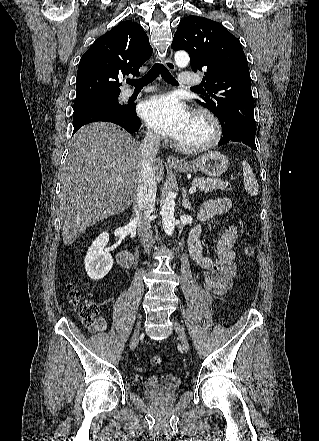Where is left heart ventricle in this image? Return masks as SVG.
I'll return each mask as SVG.
<instances>
[{
  "label": "left heart ventricle",
  "mask_w": 319,
  "mask_h": 441,
  "mask_svg": "<svg viewBox=\"0 0 319 441\" xmlns=\"http://www.w3.org/2000/svg\"><path fill=\"white\" fill-rule=\"evenodd\" d=\"M209 134L210 129L205 121L192 118L186 131L178 140L188 144H195L205 141Z\"/></svg>",
  "instance_id": "left-heart-ventricle-1"
}]
</instances>
